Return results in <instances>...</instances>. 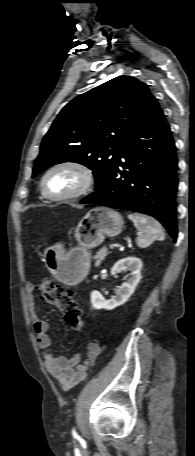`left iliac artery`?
I'll return each instance as SVG.
<instances>
[{"label": "left iliac artery", "mask_w": 195, "mask_h": 456, "mask_svg": "<svg viewBox=\"0 0 195 456\" xmlns=\"http://www.w3.org/2000/svg\"><path fill=\"white\" fill-rule=\"evenodd\" d=\"M72 433H73V435H74V436H76V432H75V430H74V429H73Z\"/></svg>", "instance_id": "obj_1"}]
</instances>
